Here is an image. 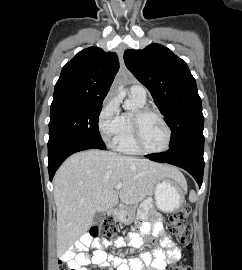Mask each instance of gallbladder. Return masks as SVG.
<instances>
[{"instance_id": "obj_1", "label": "gallbladder", "mask_w": 242, "mask_h": 270, "mask_svg": "<svg viewBox=\"0 0 242 270\" xmlns=\"http://www.w3.org/2000/svg\"><path fill=\"white\" fill-rule=\"evenodd\" d=\"M105 218V213L100 211L96 212L94 219H93V225H98L100 224Z\"/></svg>"}]
</instances>
